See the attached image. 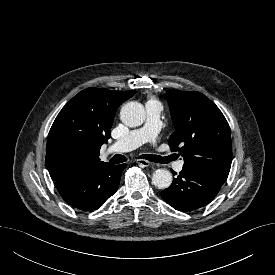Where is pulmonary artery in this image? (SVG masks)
Masks as SVG:
<instances>
[{
  "label": "pulmonary artery",
  "instance_id": "1",
  "mask_svg": "<svg viewBox=\"0 0 275 275\" xmlns=\"http://www.w3.org/2000/svg\"><path fill=\"white\" fill-rule=\"evenodd\" d=\"M145 107L147 113L145 124L139 129L130 131L113 143L108 150L109 153L128 152L143 144H151L155 141L161 127L160 116L162 105L156 100H149ZM183 165L184 161L180 160L176 162L174 168L177 172H180L183 169Z\"/></svg>",
  "mask_w": 275,
  "mask_h": 275
}]
</instances>
